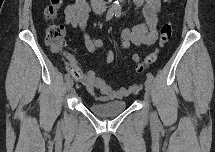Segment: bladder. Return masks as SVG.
I'll return each mask as SVG.
<instances>
[{"instance_id":"1","label":"bladder","mask_w":215,"mask_h":152,"mask_svg":"<svg viewBox=\"0 0 215 152\" xmlns=\"http://www.w3.org/2000/svg\"><path fill=\"white\" fill-rule=\"evenodd\" d=\"M127 108L126 101H106L102 103L94 102L90 105L93 114L99 117H110L122 113Z\"/></svg>"}]
</instances>
